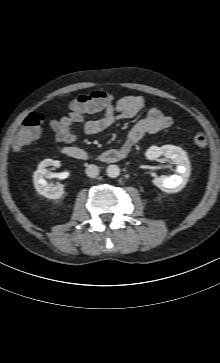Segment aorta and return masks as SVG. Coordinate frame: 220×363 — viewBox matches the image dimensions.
Returning <instances> with one entry per match:
<instances>
[{
  "label": "aorta",
  "instance_id": "762f6f07",
  "mask_svg": "<svg viewBox=\"0 0 220 363\" xmlns=\"http://www.w3.org/2000/svg\"><path fill=\"white\" fill-rule=\"evenodd\" d=\"M107 176L116 178L120 175V168L117 165H109L106 169Z\"/></svg>",
  "mask_w": 220,
  "mask_h": 363
}]
</instances>
